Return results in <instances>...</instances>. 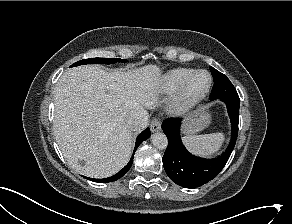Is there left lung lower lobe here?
Here are the masks:
<instances>
[{
  "label": "left lung lower lobe",
  "mask_w": 292,
  "mask_h": 224,
  "mask_svg": "<svg viewBox=\"0 0 292 224\" xmlns=\"http://www.w3.org/2000/svg\"><path fill=\"white\" fill-rule=\"evenodd\" d=\"M232 124L230 144L225 152L213 159H203L191 155L180 138L181 119H168L162 130L168 138V147L163 156V166L168 177L184 188H196L216 177L227 163L236 143L240 99L236 93L223 95Z\"/></svg>",
  "instance_id": "left-lung-lower-lobe-1"
}]
</instances>
